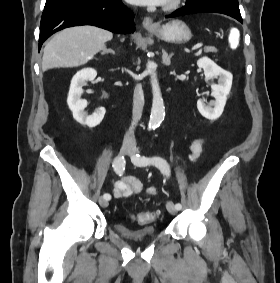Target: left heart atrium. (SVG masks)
<instances>
[{
  "mask_svg": "<svg viewBox=\"0 0 280 283\" xmlns=\"http://www.w3.org/2000/svg\"><path fill=\"white\" fill-rule=\"evenodd\" d=\"M126 1L137 5H161L166 0H126Z\"/></svg>",
  "mask_w": 280,
  "mask_h": 283,
  "instance_id": "39dd6f15",
  "label": "left heart atrium"
}]
</instances>
